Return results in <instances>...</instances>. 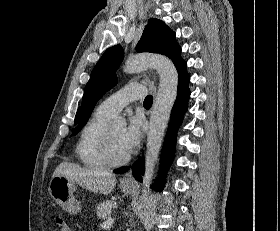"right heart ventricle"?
Instances as JSON below:
<instances>
[{
	"label": "right heart ventricle",
	"instance_id": "obj_1",
	"mask_svg": "<svg viewBox=\"0 0 280 231\" xmlns=\"http://www.w3.org/2000/svg\"><path fill=\"white\" fill-rule=\"evenodd\" d=\"M111 118L96 110L83 126L75 145V155L83 167L96 170L108 167L101 152V139Z\"/></svg>",
	"mask_w": 280,
	"mask_h": 231
}]
</instances>
